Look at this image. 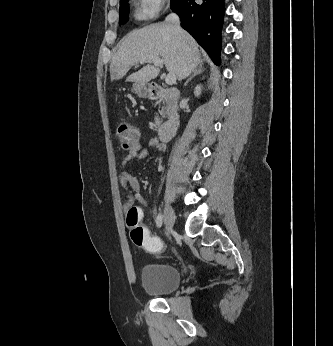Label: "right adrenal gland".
I'll list each match as a JSON object with an SVG mask.
<instances>
[{
	"label": "right adrenal gland",
	"mask_w": 333,
	"mask_h": 346,
	"mask_svg": "<svg viewBox=\"0 0 333 346\" xmlns=\"http://www.w3.org/2000/svg\"><path fill=\"white\" fill-rule=\"evenodd\" d=\"M203 71V62H200L199 65L194 69L193 74L187 79L184 86H186L189 83V81H191L196 75L202 73Z\"/></svg>",
	"instance_id": "1"
}]
</instances>
